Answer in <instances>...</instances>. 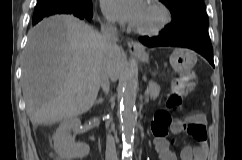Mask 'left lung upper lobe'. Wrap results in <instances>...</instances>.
<instances>
[{
	"label": "left lung upper lobe",
	"instance_id": "obj_1",
	"mask_svg": "<svg viewBox=\"0 0 242 160\" xmlns=\"http://www.w3.org/2000/svg\"><path fill=\"white\" fill-rule=\"evenodd\" d=\"M170 10L172 22L164 30L178 34L191 27H208L203 0H160Z\"/></svg>",
	"mask_w": 242,
	"mask_h": 160
}]
</instances>
